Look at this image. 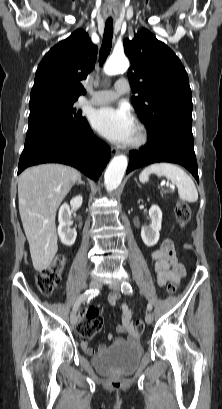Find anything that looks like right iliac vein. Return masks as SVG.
<instances>
[{
  "instance_id": "right-iliac-vein-1",
  "label": "right iliac vein",
  "mask_w": 222,
  "mask_h": 409,
  "mask_svg": "<svg viewBox=\"0 0 222 409\" xmlns=\"http://www.w3.org/2000/svg\"><path fill=\"white\" fill-rule=\"evenodd\" d=\"M101 285H102L101 281H100L99 279L95 278V279H92V280L90 281L89 287H90L91 289H97V288L101 287ZM70 321H71V323H72L73 325H76V324H77L78 317H77V315H76L75 312H71V314H70Z\"/></svg>"
}]
</instances>
